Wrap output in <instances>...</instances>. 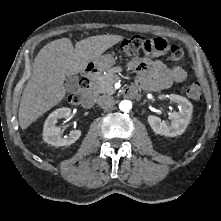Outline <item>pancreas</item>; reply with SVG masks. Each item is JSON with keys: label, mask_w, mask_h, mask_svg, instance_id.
<instances>
[{"label": "pancreas", "mask_w": 221, "mask_h": 221, "mask_svg": "<svg viewBox=\"0 0 221 221\" xmlns=\"http://www.w3.org/2000/svg\"><path fill=\"white\" fill-rule=\"evenodd\" d=\"M120 67L108 69L106 74H99L91 85V90L95 95L101 93L112 94L115 92L113 84L118 79L116 73L120 72Z\"/></svg>", "instance_id": "obj_1"}]
</instances>
